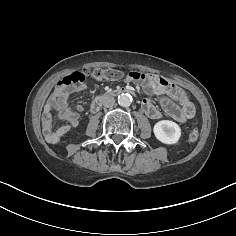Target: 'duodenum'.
<instances>
[{"mask_svg": "<svg viewBox=\"0 0 236 236\" xmlns=\"http://www.w3.org/2000/svg\"><path fill=\"white\" fill-rule=\"evenodd\" d=\"M123 93H131V91L126 88V87H121L119 89H116L110 93H101L99 94L92 102L91 107H90V112L91 113H96L100 107L101 104L103 102V100L109 96V95H119V94H123Z\"/></svg>", "mask_w": 236, "mask_h": 236, "instance_id": "410a0bca", "label": "duodenum"}]
</instances>
